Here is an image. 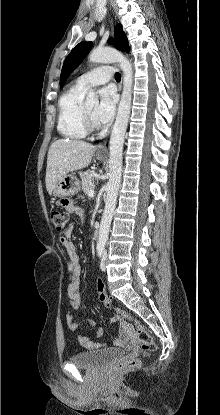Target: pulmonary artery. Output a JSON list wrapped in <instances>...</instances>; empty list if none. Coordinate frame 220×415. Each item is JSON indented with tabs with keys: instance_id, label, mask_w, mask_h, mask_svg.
<instances>
[{
	"instance_id": "pulmonary-artery-1",
	"label": "pulmonary artery",
	"mask_w": 220,
	"mask_h": 415,
	"mask_svg": "<svg viewBox=\"0 0 220 415\" xmlns=\"http://www.w3.org/2000/svg\"><path fill=\"white\" fill-rule=\"evenodd\" d=\"M113 68L110 66H101L81 75L75 82L79 89L86 90L90 87L104 84L112 79Z\"/></svg>"
}]
</instances>
